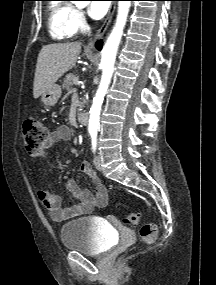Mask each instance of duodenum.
<instances>
[{"label": "duodenum", "mask_w": 216, "mask_h": 285, "mask_svg": "<svg viewBox=\"0 0 216 285\" xmlns=\"http://www.w3.org/2000/svg\"><path fill=\"white\" fill-rule=\"evenodd\" d=\"M89 120L88 113L85 111H81L78 113V121L81 125H87Z\"/></svg>", "instance_id": "1"}]
</instances>
